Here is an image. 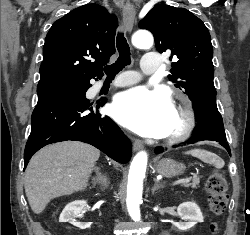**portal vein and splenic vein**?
I'll list each match as a JSON object with an SVG mask.
<instances>
[{"mask_svg": "<svg viewBox=\"0 0 250 235\" xmlns=\"http://www.w3.org/2000/svg\"><path fill=\"white\" fill-rule=\"evenodd\" d=\"M191 178H184V179H181V180H178V181H175L173 183V185H178V184H183V183H188L190 182Z\"/></svg>", "mask_w": 250, "mask_h": 235, "instance_id": "portal-vein-and-splenic-vein-1", "label": "portal vein and splenic vein"}]
</instances>
